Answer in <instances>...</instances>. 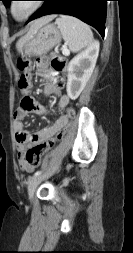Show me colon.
I'll list each match as a JSON object with an SVG mask.
<instances>
[{
    "label": "colon",
    "mask_w": 133,
    "mask_h": 253,
    "mask_svg": "<svg viewBox=\"0 0 133 253\" xmlns=\"http://www.w3.org/2000/svg\"><path fill=\"white\" fill-rule=\"evenodd\" d=\"M51 68L56 73L64 72L66 69L67 61L66 59L56 53H52L49 57ZM19 70L22 72L18 80V87L25 97V93H30L31 91V62L28 59L20 58L17 62ZM22 101V100H21ZM76 110L73 107H68L65 113L67 117V123L56 133L55 136L46 140L39 146L30 149L26 154L27 162L33 167H38L41 163L43 155L48 152L55 144V142L63 137V135L68 130L69 125H73L77 122Z\"/></svg>",
    "instance_id": "5ec220e1"
}]
</instances>
